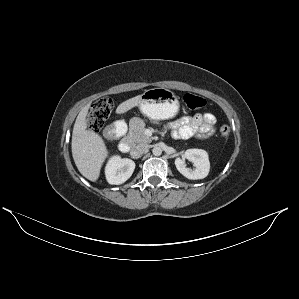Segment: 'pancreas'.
Listing matches in <instances>:
<instances>
[{
  "instance_id": "obj_1",
  "label": "pancreas",
  "mask_w": 299,
  "mask_h": 299,
  "mask_svg": "<svg viewBox=\"0 0 299 299\" xmlns=\"http://www.w3.org/2000/svg\"><path fill=\"white\" fill-rule=\"evenodd\" d=\"M153 123L158 124L157 121H154ZM145 123L143 121H140L138 124L134 123L133 121L130 124V130H129V139L133 143L138 144H148L152 142V139L145 135Z\"/></svg>"
}]
</instances>
